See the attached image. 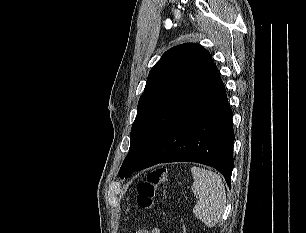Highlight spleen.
I'll return each mask as SVG.
<instances>
[{"label": "spleen", "mask_w": 306, "mask_h": 233, "mask_svg": "<svg viewBox=\"0 0 306 233\" xmlns=\"http://www.w3.org/2000/svg\"><path fill=\"white\" fill-rule=\"evenodd\" d=\"M193 193L199 198L193 214L207 227L219 222L226 203V191L219 174L200 167H192Z\"/></svg>", "instance_id": "3e777b00"}]
</instances>
